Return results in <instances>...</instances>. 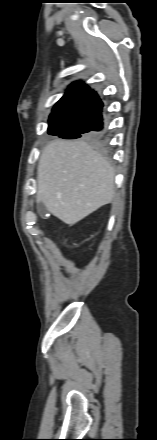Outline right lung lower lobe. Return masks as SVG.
<instances>
[{"mask_svg": "<svg viewBox=\"0 0 157 440\" xmlns=\"http://www.w3.org/2000/svg\"><path fill=\"white\" fill-rule=\"evenodd\" d=\"M90 128L93 129V130H96V131L100 130L102 128V116H99L96 119L94 125L92 127H90Z\"/></svg>", "mask_w": 157, "mask_h": 440, "instance_id": "1", "label": "right lung lower lobe"}]
</instances>
